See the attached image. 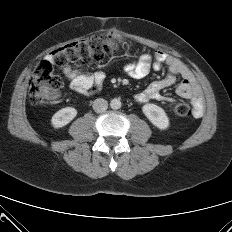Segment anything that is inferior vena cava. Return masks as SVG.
<instances>
[{"instance_id": "1", "label": "inferior vena cava", "mask_w": 232, "mask_h": 232, "mask_svg": "<svg viewBox=\"0 0 232 232\" xmlns=\"http://www.w3.org/2000/svg\"><path fill=\"white\" fill-rule=\"evenodd\" d=\"M108 108V102L103 99V98H97L96 100H94L93 102V110L96 113H102L105 112Z\"/></svg>"}]
</instances>
